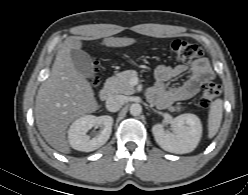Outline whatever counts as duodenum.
Returning <instances> with one entry per match:
<instances>
[{"label":"duodenum","mask_w":248,"mask_h":195,"mask_svg":"<svg viewBox=\"0 0 248 195\" xmlns=\"http://www.w3.org/2000/svg\"><path fill=\"white\" fill-rule=\"evenodd\" d=\"M114 93V86L112 81H108L100 90L99 97L102 101H108L112 98Z\"/></svg>","instance_id":"obj_1"}]
</instances>
